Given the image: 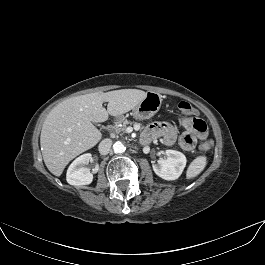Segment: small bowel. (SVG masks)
<instances>
[{"instance_id": "small-bowel-1", "label": "small bowel", "mask_w": 265, "mask_h": 265, "mask_svg": "<svg viewBox=\"0 0 265 265\" xmlns=\"http://www.w3.org/2000/svg\"><path fill=\"white\" fill-rule=\"evenodd\" d=\"M181 125L185 128L178 136L175 127L167 122H157L149 125L143 134V141L149 143L157 138H162L165 145H173L178 141L179 145L187 151L196 146L197 139L204 140L207 137V126L197 117L180 118Z\"/></svg>"}]
</instances>
